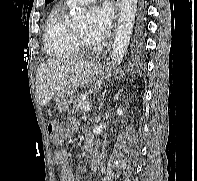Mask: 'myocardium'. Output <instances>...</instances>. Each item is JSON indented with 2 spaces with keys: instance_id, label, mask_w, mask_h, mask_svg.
Masks as SVG:
<instances>
[{
  "instance_id": "1",
  "label": "myocardium",
  "mask_w": 197,
  "mask_h": 181,
  "mask_svg": "<svg viewBox=\"0 0 197 181\" xmlns=\"http://www.w3.org/2000/svg\"><path fill=\"white\" fill-rule=\"evenodd\" d=\"M72 37L74 44L76 45L77 49L82 53H90L96 51L99 46L97 45H90L88 44L76 31L75 28L72 29Z\"/></svg>"
}]
</instances>
